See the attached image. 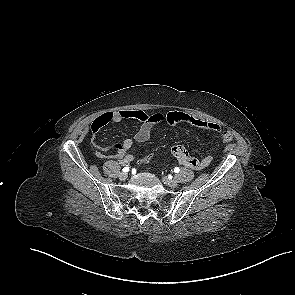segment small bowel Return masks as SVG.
Wrapping results in <instances>:
<instances>
[{
  "instance_id": "small-bowel-1",
  "label": "small bowel",
  "mask_w": 295,
  "mask_h": 295,
  "mask_svg": "<svg viewBox=\"0 0 295 295\" xmlns=\"http://www.w3.org/2000/svg\"><path fill=\"white\" fill-rule=\"evenodd\" d=\"M127 119H135L141 122V126L133 138H127L123 142L115 143L112 147H101L98 145L96 135L104 126L109 123H120ZM163 121L171 125L188 124L203 130L215 132L219 134L220 139L224 143L233 140L232 133L223 129L220 125L202 121L185 112L170 111L167 113L148 114L142 110H120L105 112L93 121L91 129L94 134V144L98 148L96 156L101 159H118L124 165L129 164L134 159V156L128 151L132 148L134 142L143 143L148 141L154 127ZM110 151H114V153L109 154ZM172 152L181 165L193 170H202L209 166L213 160V154H208L202 159L194 158L180 145L175 146Z\"/></svg>"
}]
</instances>
